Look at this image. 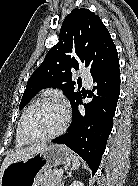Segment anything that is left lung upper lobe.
<instances>
[{
  "instance_id": "1",
  "label": "left lung upper lobe",
  "mask_w": 138,
  "mask_h": 186,
  "mask_svg": "<svg viewBox=\"0 0 138 186\" xmlns=\"http://www.w3.org/2000/svg\"><path fill=\"white\" fill-rule=\"evenodd\" d=\"M117 59L116 46L99 16L85 8L72 10L63 21L59 42L28 80L19 109L47 87L61 88L72 105L81 95L74 91L72 72L84 63L94 76Z\"/></svg>"
}]
</instances>
